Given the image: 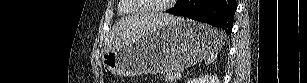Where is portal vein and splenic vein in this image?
<instances>
[{
	"mask_svg": "<svg viewBox=\"0 0 307 83\" xmlns=\"http://www.w3.org/2000/svg\"><path fill=\"white\" fill-rule=\"evenodd\" d=\"M181 77V74H175V78Z\"/></svg>",
	"mask_w": 307,
	"mask_h": 83,
	"instance_id": "18ae733b",
	"label": "portal vein and splenic vein"
}]
</instances>
